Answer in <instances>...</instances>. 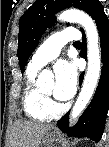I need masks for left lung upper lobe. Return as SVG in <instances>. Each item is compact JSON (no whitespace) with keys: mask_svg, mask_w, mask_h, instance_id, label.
Returning a JSON list of instances; mask_svg holds the SVG:
<instances>
[{"mask_svg":"<svg viewBox=\"0 0 109 147\" xmlns=\"http://www.w3.org/2000/svg\"><path fill=\"white\" fill-rule=\"evenodd\" d=\"M99 4L98 0H37L19 21L17 55L21 71L23 72L44 31L54 24L56 13L75 7L91 15Z\"/></svg>","mask_w":109,"mask_h":147,"instance_id":"1","label":"left lung upper lobe"}]
</instances>
